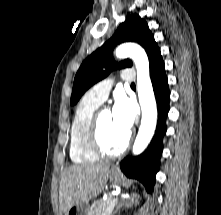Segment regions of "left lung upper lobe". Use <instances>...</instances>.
<instances>
[{
	"instance_id": "1",
	"label": "left lung upper lobe",
	"mask_w": 221,
	"mask_h": 215,
	"mask_svg": "<svg viewBox=\"0 0 221 215\" xmlns=\"http://www.w3.org/2000/svg\"><path fill=\"white\" fill-rule=\"evenodd\" d=\"M123 42L140 44L145 49L149 62L160 51L146 21L137 14L129 15L114 35L83 61L74 79L71 105L76 104L91 86L107 77L112 70L132 66L129 60L117 64L113 59V49Z\"/></svg>"
}]
</instances>
